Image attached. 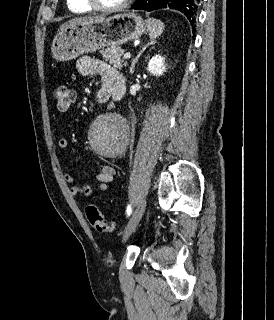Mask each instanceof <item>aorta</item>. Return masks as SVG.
<instances>
[{
    "instance_id": "aorta-1",
    "label": "aorta",
    "mask_w": 274,
    "mask_h": 320,
    "mask_svg": "<svg viewBox=\"0 0 274 320\" xmlns=\"http://www.w3.org/2000/svg\"><path fill=\"white\" fill-rule=\"evenodd\" d=\"M129 136V126L124 118L116 113L99 116L92 124L88 140L91 148L98 154L116 157Z\"/></svg>"
}]
</instances>
